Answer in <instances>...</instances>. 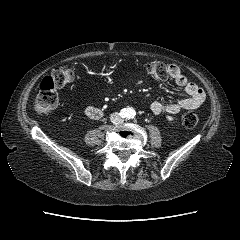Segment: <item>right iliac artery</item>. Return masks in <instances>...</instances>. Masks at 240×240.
<instances>
[{"label": "right iliac artery", "instance_id": "obj_1", "mask_svg": "<svg viewBox=\"0 0 240 240\" xmlns=\"http://www.w3.org/2000/svg\"><path fill=\"white\" fill-rule=\"evenodd\" d=\"M120 114L124 117V116H126V111H124V109H123Z\"/></svg>", "mask_w": 240, "mask_h": 240}]
</instances>
